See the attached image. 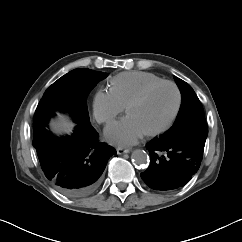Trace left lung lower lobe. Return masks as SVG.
I'll return each mask as SVG.
<instances>
[{
	"label": "left lung lower lobe",
	"instance_id": "obj_1",
	"mask_svg": "<svg viewBox=\"0 0 242 242\" xmlns=\"http://www.w3.org/2000/svg\"><path fill=\"white\" fill-rule=\"evenodd\" d=\"M205 140L159 136L146 147L150 153V165L141 173V178L154 190L184 186L200 167Z\"/></svg>",
	"mask_w": 242,
	"mask_h": 242
}]
</instances>
